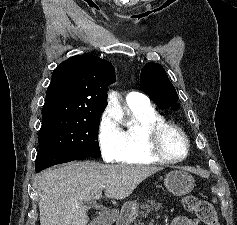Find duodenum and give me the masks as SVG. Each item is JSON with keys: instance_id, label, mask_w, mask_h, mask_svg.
Instances as JSON below:
<instances>
[{"instance_id": "obj_1", "label": "duodenum", "mask_w": 237, "mask_h": 225, "mask_svg": "<svg viewBox=\"0 0 237 225\" xmlns=\"http://www.w3.org/2000/svg\"><path fill=\"white\" fill-rule=\"evenodd\" d=\"M116 225H122V221L119 218L116 221Z\"/></svg>"}]
</instances>
